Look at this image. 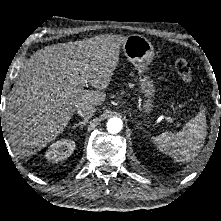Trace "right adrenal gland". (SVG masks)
<instances>
[{"label": "right adrenal gland", "instance_id": "1", "mask_svg": "<svg viewBox=\"0 0 221 221\" xmlns=\"http://www.w3.org/2000/svg\"><path fill=\"white\" fill-rule=\"evenodd\" d=\"M88 122L87 119L83 120V121H79L77 124H75L74 126H72V129H75L76 127H80L81 129L84 127V125H86V123Z\"/></svg>", "mask_w": 221, "mask_h": 221}]
</instances>
